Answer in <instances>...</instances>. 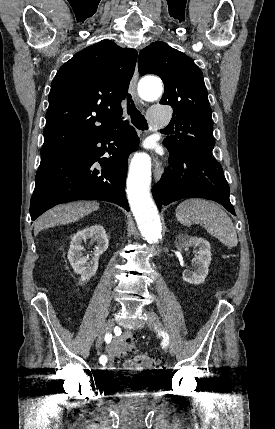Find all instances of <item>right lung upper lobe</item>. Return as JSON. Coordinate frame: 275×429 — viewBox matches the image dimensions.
I'll use <instances>...</instances> for the list:
<instances>
[{"mask_svg":"<svg viewBox=\"0 0 275 429\" xmlns=\"http://www.w3.org/2000/svg\"><path fill=\"white\" fill-rule=\"evenodd\" d=\"M137 52L102 40L76 53L51 84L41 156L117 128Z\"/></svg>","mask_w":275,"mask_h":429,"instance_id":"obj_1","label":"right lung upper lobe"}]
</instances>
